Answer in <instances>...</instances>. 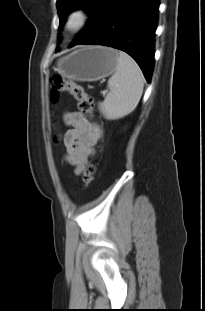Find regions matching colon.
<instances>
[{"instance_id": "1", "label": "colon", "mask_w": 205, "mask_h": 311, "mask_svg": "<svg viewBox=\"0 0 205 311\" xmlns=\"http://www.w3.org/2000/svg\"><path fill=\"white\" fill-rule=\"evenodd\" d=\"M61 93H68L72 95L78 101V107L80 111L84 114L90 115L93 113V98L85 92L83 87L60 76H54L52 78L53 98L57 99ZM94 174L95 165L89 161L86 163L82 173V180L86 186H88L92 182Z\"/></svg>"}]
</instances>
